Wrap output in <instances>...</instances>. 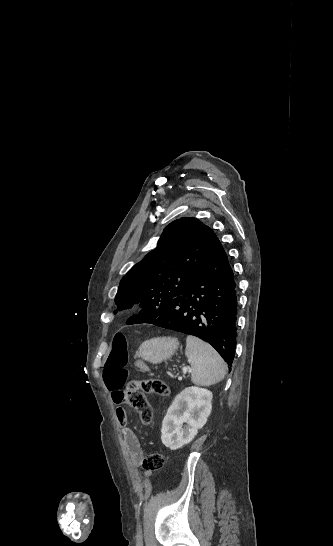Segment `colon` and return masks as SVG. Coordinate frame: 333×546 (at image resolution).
I'll use <instances>...</instances> for the list:
<instances>
[{"mask_svg": "<svg viewBox=\"0 0 333 546\" xmlns=\"http://www.w3.org/2000/svg\"><path fill=\"white\" fill-rule=\"evenodd\" d=\"M128 342L124 334L115 335L112 348L105 362L103 380L110 391L122 390V400L131 406L139 415L143 423L152 422V412L145 396L141 393L168 396L169 388L166 383L158 379L131 381L124 389L128 377ZM164 455L160 451L150 452L143 460V467L149 471L163 468Z\"/></svg>", "mask_w": 333, "mask_h": 546, "instance_id": "colon-1", "label": "colon"}]
</instances>
